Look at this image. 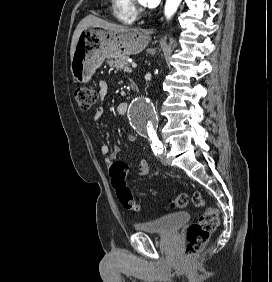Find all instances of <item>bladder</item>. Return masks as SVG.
<instances>
[{"instance_id": "1", "label": "bladder", "mask_w": 272, "mask_h": 282, "mask_svg": "<svg viewBox=\"0 0 272 282\" xmlns=\"http://www.w3.org/2000/svg\"><path fill=\"white\" fill-rule=\"evenodd\" d=\"M190 217L188 212H177L151 221L137 222L135 229L144 233L172 234L187 223Z\"/></svg>"}]
</instances>
